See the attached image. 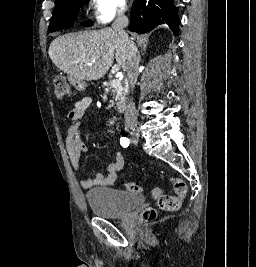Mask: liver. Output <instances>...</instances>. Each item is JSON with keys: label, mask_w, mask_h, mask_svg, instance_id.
Masks as SVG:
<instances>
[{"label": "liver", "mask_w": 256, "mask_h": 267, "mask_svg": "<svg viewBox=\"0 0 256 267\" xmlns=\"http://www.w3.org/2000/svg\"><path fill=\"white\" fill-rule=\"evenodd\" d=\"M129 44L113 28L73 32L55 38L50 44L49 58L68 74L69 80H100L110 70L115 58L117 66L127 70Z\"/></svg>", "instance_id": "obj_1"}]
</instances>
